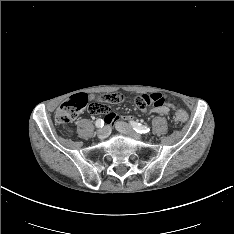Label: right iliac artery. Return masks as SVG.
Wrapping results in <instances>:
<instances>
[{"label": "right iliac artery", "instance_id": "1", "mask_svg": "<svg viewBox=\"0 0 234 234\" xmlns=\"http://www.w3.org/2000/svg\"><path fill=\"white\" fill-rule=\"evenodd\" d=\"M97 128H102L104 126V121L102 119H98L95 122Z\"/></svg>", "mask_w": 234, "mask_h": 234}]
</instances>
